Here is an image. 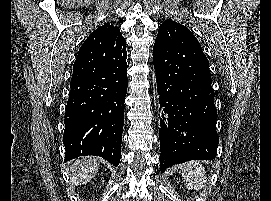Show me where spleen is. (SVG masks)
Listing matches in <instances>:
<instances>
[{"instance_id":"obj_1","label":"spleen","mask_w":271,"mask_h":201,"mask_svg":"<svg viewBox=\"0 0 271 201\" xmlns=\"http://www.w3.org/2000/svg\"><path fill=\"white\" fill-rule=\"evenodd\" d=\"M182 178L188 190H200L205 184V170L197 161H190L183 165Z\"/></svg>"}]
</instances>
